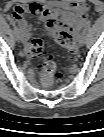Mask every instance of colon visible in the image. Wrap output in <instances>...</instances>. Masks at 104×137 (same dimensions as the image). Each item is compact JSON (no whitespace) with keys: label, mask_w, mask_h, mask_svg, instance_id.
Wrapping results in <instances>:
<instances>
[{"label":"colon","mask_w":104,"mask_h":137,"mask_svg":"<svg viewBox=\"0 0 104 137\" xmlns=\"http://www.w3.org/2000/svg\"><path fill=\"white\" fill-rule=\"evenodd\" d=\"M49 35L59 45L63 46L70 55L76 54V42L69 29L61 25H52L49 27ZM29 54L38 70L42 85H52L59 75L53 57L44 51L42 39L36 38L30 42Z\"/></svg>","instance_id":"1"}]
</instances>
